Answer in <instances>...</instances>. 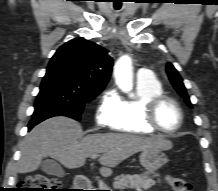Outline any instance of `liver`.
Here are the masks:
<instances>
[{"mask_svg": "<svg viewBox=\"0 0 218 191\" xmlns=\"http://www.w3.org/2000/svg\"><path fill=\"white\" fill-rule=\"evenodd\" d=\"M172 143L161 137L104 133L83 137L81 125L67 117L57 116L34 127L23 141L18 162L19 173L37 170L41 160L50 156L66 168L82 167L91 155L101 154L100 172L104 176L133 154L146 149L169 150Z\"/></svg>", "mask_w": 218, "mask_h": 191, "instance_id": "1", "label": "liver"}]
</instances>
